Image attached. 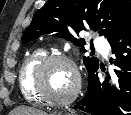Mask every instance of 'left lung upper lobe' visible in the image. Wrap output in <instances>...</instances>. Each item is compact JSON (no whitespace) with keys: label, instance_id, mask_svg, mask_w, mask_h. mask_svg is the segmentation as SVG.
<instances>
[{"label":"left lung upper lobe","instance_id":"obj_1","mask_svg":"<svg viewBox=\"0 0 131 115\" xmlns=\"http://www.w3.org/2000/svg\"><path fill=\"white\" fill-rule=\"evenodd\" d=\"M131 22V6L127 0H48L33 17L24 31V42L37 39L43 34H54L71 40L78 46L85 41L76 39L88 28L98 31L108 41ZM82 50L85 52L84 48ZM84 65L90 75L98 68L94 57H84Z\"/></svg>","mask_w":131,"mask_h":115}]
</instances>
